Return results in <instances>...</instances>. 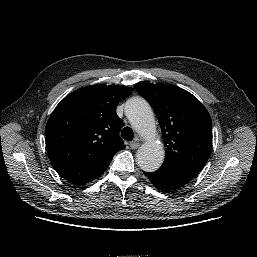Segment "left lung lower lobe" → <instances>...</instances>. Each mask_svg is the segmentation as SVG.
Here are the masks:
<instances>
[{
	"mask_svg": "<svg viewBox=\"0 0 257 257\" xmlns=\"http://www.w3.org/2000/svg\"><path fill=\"white\" fill-rule=\"evenodd\" d=\"M144 174L150 179L154 186L161 191L178 189L191 181L194 177L186 172L164 166H161L153 173L144 172Z\"/></svg>",
	"mask_w": 257,
	"mask_h": 257,
	"instance_id": "left-lung-lower-lobe-1",
	"label": "left lung lower lobe"
}]
</instances>
